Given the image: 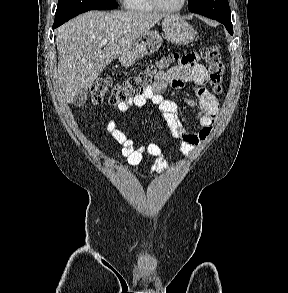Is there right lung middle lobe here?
<instances>
[{"instance_id":"right-lung-middle-lobe-1","label":"right lung middle lobe","mask_w":288,"mask_h":293,"mask_svg":"<svg viewBox=\"0 0 288 293\" xmlns=\"http://www.w3.org/2000/svg\"><path fill=\"white\" fill-rule=\"evenodd\" d=\"M117 7L115 0H59L54 25H62L89 10L116 9Z\"/></svg>"}]
</instances>
